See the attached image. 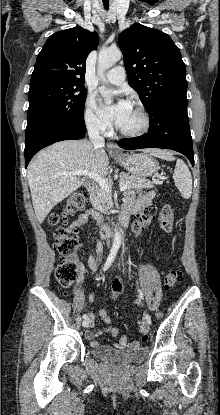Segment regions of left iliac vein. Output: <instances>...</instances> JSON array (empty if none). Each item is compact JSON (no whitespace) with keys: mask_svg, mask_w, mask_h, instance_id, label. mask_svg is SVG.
Wrapping results in <instances>:
<instances>
[{"mask_svg":"<svg viewBox=\"0 0 220 415\" xmlns=\"http://www.w3.org/2000/svg\"><path fill=\"white\" fill-rule=\"evenodd\" d=\"M149 318L151 319L150 315H149ZM146 321H147V320H146ZM147 324H148V325H150V324H151V322L147 321Z\"/></svg>","mask_w":220,"mask_h":415,"instance_id":"1","label":"left iliac vein"}]
</instances>
